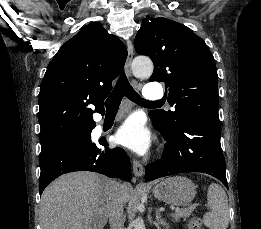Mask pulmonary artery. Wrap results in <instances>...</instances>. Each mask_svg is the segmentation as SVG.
Returning <instances> with one entry per match:
<instances>
[{"mask_svg": "<svg viewBox=\"0 0 261 229\" xmlns=\"http://www.w3.org/2000/svg\"><path fill=\"white\" fill-rule=\"evenodd\" d=\"M144 97L148 99H160L163 94V89L161 84H148L146 87ZM148 88V89H147Z\"/></svg>", "mask_w": 261, "mask_h": 229, "instance_id": "obj_1", "label": "pulmonary artery"}]
</instances>
